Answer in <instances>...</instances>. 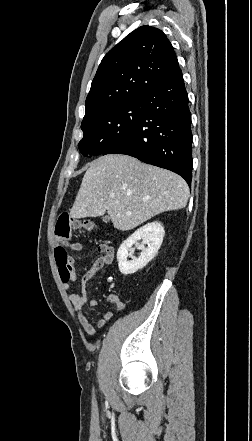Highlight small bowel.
I'll use <instances>...</instances> for the list:
<instances>
[{"mask_svg": "<svg viewBox=\"0 0 252 441\" xmlns=\"http://www.w3.org/2000/svg\"><path fill=\"white\" fill-rule=\"evenodd\" d=\"M71 248L76 252L83 251L84 247L83 244L80 242H74L71 244ZM99 252L102 254L100 257H98L92 266L87 269L82 277H81V287H82V293L81 294H72L71 295V301L74 305V308L77 312L78 320L84 331L89 336H94L96 334L95 327H104L105 324L112 318L111 312H104L102 315V318L96 320L95 322H91L86 313H85V306L89 305L90 307H94L97 305V300L90 297L87 294L86 287L88 282L91 280V278L95 275V273L100 270L103 266L109 265L113 262L114 254L113 249L110 246L107 245H101L98 248ZM60 271V277L62 280V283L65 288L69 287L70 281H75L76 279V273L74 269V258L72 256H69V274L65 275L61 268H59ZM106 300L114 305V307L120 311L123 310L125 307V304L120 299V297L114 293H109L106 295Z\"/></svg>", "mask_w": 252, "mask_h": 441, "instance_id": "1", "label": "small bowel"}]
</instances>
